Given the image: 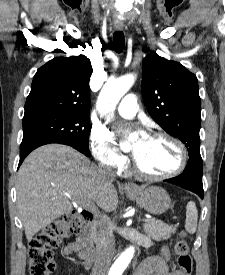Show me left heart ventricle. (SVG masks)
<instances>
[{"mask_svg":"<svg viewBox=\"0 0 225 275\" xmlns=\"http://www.w3.org/2000/svg\"><path fill=\"white\" fill-rule=\"evenodd\" d=\"M132 148L139 167L148 174L171 172L179 163L177 148L166 139L150 137L138 139Z\"/></svg>","mask_w":225,"mask_h":275,"instance_id":"1","label":"left heart ventricle"}]
</instances>
